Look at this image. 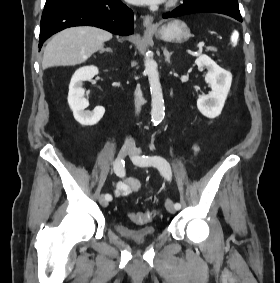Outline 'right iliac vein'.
<instances>
[{
    "instance_id": "63e3f726",
    "label": "right iliac vein",
    "mask_w": 280,
    "mask_h": 283,
    "mask_svg": "<svg viewBox=\"0 0 280 283\" xmlns=\"http://www.w3.org/2000/svg\"><path fill=\"white\" fill-rule=\"evenodd\" d=\"M132 151V147L129 145H123L119 151V157L120 158H125L127 155L130 154ZM99 203L102 207H106L108 205V200L105 198L104 195H101L99 197Z\"/></svg>"
}]
</instances>
